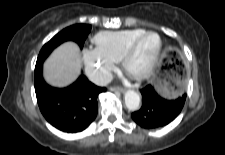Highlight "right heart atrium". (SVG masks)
I'll return each mask as SVG.
<instances>
[{
    "label": "right heart atrium",
    "instance_id": "1",
    "mask_svg": "<svg viewBox=\"0 0 225 155\" xmlns=\"http://www.w3.org/2000/svg\"><path fill=\"white\" fill-rule=\"evenodd\" d=\"M83 62L87 75L95 82H105L115 67V62L101 55L95 48L83 51Z\"/></svg>",
    "mask_w": 225,
    "mask_h": 155
}]
</instances>
